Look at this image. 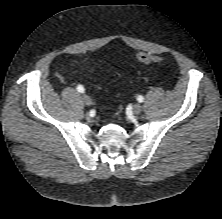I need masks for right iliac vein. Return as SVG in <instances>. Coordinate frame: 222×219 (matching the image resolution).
Segmentation results:
<instances>
[{
    "mask_svg": "<svg viewBox=\"0 0 222 219\" xmlns=\"http://www.w3.org/2000/svg\"><path fill=\"white\" fill-rule=\"evenodd\" d=\"M82 99H83V101L86 105H91L92 104V99L89 95L83 94Z\"/></svg>",
    "mask_w": 222,
    "mask_h": 219,
    "instance_id": "63e3f726",
    "label": "right iliac vein"
}]
</instances>
